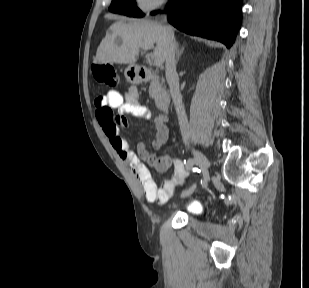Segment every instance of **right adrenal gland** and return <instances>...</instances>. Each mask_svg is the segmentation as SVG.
Instances as JSON below:
<instances>
[{
    "mask_svg": "<svg viewBox=\"0 0 309 288\" xmlns=\"http://www.w3.org/2000/svg\"><path fill=\"white\" fill-rule=\"evenodd\" d=\"M184 51V47H182L181 49L179 48V45H176V63L179 61L180 56L182 55Z\"/></svg>",
    "mask_w": 309,
    "mask_h": 288,
    "instance_id": "right-adrenal-gland-1",
    "label": "right adrenal gland"
}]
</instances>
